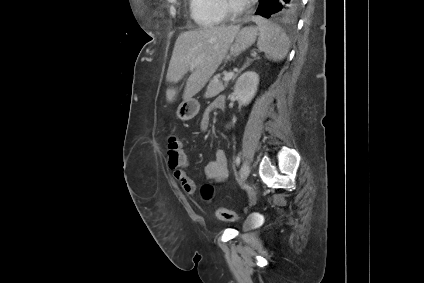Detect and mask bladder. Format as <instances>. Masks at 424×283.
<instances>
[{
  "instance_id": "31cf9c89",
  "label": "bladder",
  "mask_w": 424,
  "mask_h": 283,
  "mask_svg": "<svg viewBox=\"0 0 424 283\" xmlns=\"http://www.w3.org/2000/svg\"><path fill=\"white\" fill-rule=\"evenodd\" d=\"M257 226H258V224H257L256 220L253 217L250 216L244 222L243 230L245 232L251 231V230H254L255 228H257Z\"/></svg>"
}]
</instances>
